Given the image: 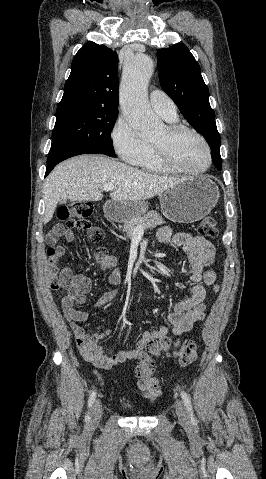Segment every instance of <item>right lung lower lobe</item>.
<instances>
[{"mask_svg":"<svg viewBox=\"0 0 266 479\" xmlns=\"http://www.w3.org/2000/svg\"><path fill=\"white\" fill-rule=\"evenodd\" d=\"M80 154H100L98 152L93 151H82L70 147L64 146H55L51 147L47 159V169L45 173V177L51 172V170L61 161L76 156Z\"/></svg>","mask_w":266,"mask_h":479,"instance_id":"right-lung-lower-lobe-1","label":"right lung lower lobe"}]
</instances>
